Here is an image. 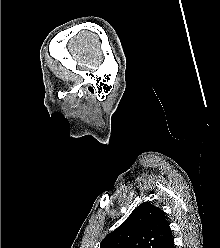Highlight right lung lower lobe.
Returning <instances> with one entry per match:
<instances>
[{
	"mask_svg": "<svg viewBox=\"0 0 220 248\" xmlns=\"http://www.w3.org/2000/svg\"><path fill=\"white\" fill-rule=\"evenodd\" d=\"M163 248H176V247L174 246L173 238H170V239L168 240V242L163 246Z\"/></svg>",
	"mask_w": 220,
	"mask_h": 248,
	"instance_id": "98d812e1",
	"label": "right lung lower lobe"
}]
</instances>
